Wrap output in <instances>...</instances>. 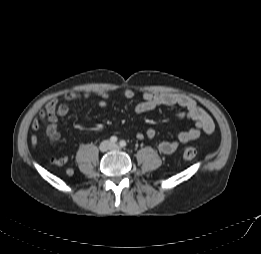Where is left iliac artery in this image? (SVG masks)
Listing matches in <instances>:
<instances>
[{
    "label": "left iliac artery",
    "instance_id": "obj_1",
    "mask_svg": "<svg viewBox=\"0 0 261 254\" xmlns=\"http://www.w3.org/2000/svg\"><path fill=\"white\" fill-rule=\"evenodd\" d=\"M119 145H120L121 147H125V146H126V142H125L124 140H121V141L119 142Z\"/></svg>",
    "mask_w": 261,
    "mask_h": 254
}]
</instances>
